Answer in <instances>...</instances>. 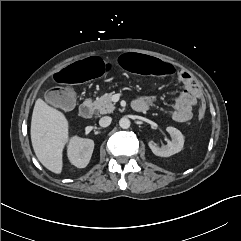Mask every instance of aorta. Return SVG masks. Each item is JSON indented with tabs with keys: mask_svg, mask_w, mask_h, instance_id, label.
<instances>
[{
	"mask_svg": "<svg viewBox=\"0 0 241 241\" xmlns=\"http://www.w3.org/2000/svg\"><path fill=\"white\" fill-rule=\"evenodd\" d=\"M130 120L127 118H121L119 121V125L122 129H128L130 127Z\"/></svg>",
	"mask_w": 241,
	"mask_h": 241,
	"instance_id": "762f6f07",
	"label": "aorta"
}]
</instances>
